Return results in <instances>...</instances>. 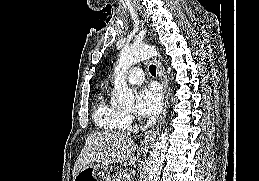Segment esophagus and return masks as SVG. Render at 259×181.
Here are the masks:
<instances>
[{
  "label": "esophagus",
  "mask_w": 259,
  "mask_h": 181,
  "mask_svg": "<svg viewBox=\"0 0 259 181\" xmlns=\"http://www.w3.org/2000/svg\"><path fill=\"white\" fill-rule=\"evenodd\" d=\"M157 73H158L159 79H160V81L163 85L164 107H163V112H162L161 118H160L157 126L147 134L145 139L140 144V148L144 149V150L151 147V145L154 143V141L156 139V136L159 134V132L161 130V127L164 123L166 113H167V108H168V82H167V78H166V75L164 73V69L162 67V64L160 62H157Z\"/></svg>",
  "instance_id": "esophagus-1"
}]
</instances>
